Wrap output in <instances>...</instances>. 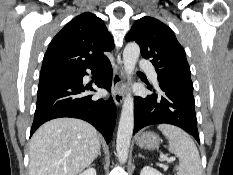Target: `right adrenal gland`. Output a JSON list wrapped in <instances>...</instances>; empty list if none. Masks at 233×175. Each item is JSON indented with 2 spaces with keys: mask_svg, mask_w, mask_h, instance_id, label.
I'll use <instances>...</instances> for the list:
<instances>
[{
  "mask_svg": "<svg viewBox=\"0 0 233 175\" xmlns=\"http://www.w3.org/2000/svg\"><path fill=\"white\" fill-rule=\"evenodd\" d=\"M98 156H101V146H100V148H99V152H98L97 157H98ZM97 157H96V158H97Z\"/></svg>",
  "mask_w": 233,
  "mask_h": 175,
  "instance_id": "1",
  "label": "right adrenal gland"
}]
</instances>
